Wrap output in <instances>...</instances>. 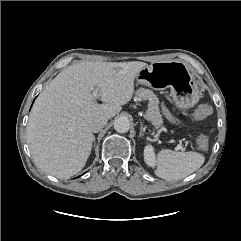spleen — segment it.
I'll list each match as a JSON object with an SVG mask.
<instances>
[{
    "mask_svg": "<svg viewBox=\"0 0 241 241\" xmlns=\"http://www.w3.org/2000/svg\"><path fill=\"white\" fill-rule=\"evenodd\" d=\"M204 160V156L198 152H177L163 149L157 156L155 174L168 181L179 180L198 170Z\"/></svg>",
    "mask_w": 241,
    "mask_h": 241,
    "instance_id": "spleen-1",
    "label": "spleen"
}]
</instances>
